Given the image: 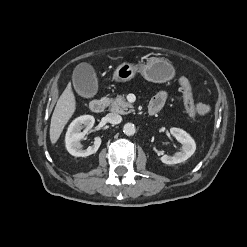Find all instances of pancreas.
<instances>
[{"mask_svg":"<svg viewBox=\"0 0 247 247\" xmlns=\"http://www.w3.org/2000/svg\"><path fill=\"white\" fill-rule=\"evenodd\" d=\"M110 110L119 114H128L133 112V105L126 101L124 96H117L111 100Z\"/></svg>","mask_w":247,"mask_h":247,"instance_id":"obj_1","label":"pancreas"}]
</instances>
